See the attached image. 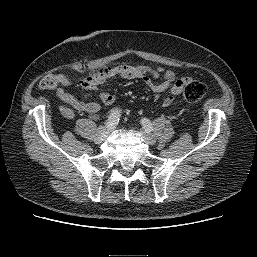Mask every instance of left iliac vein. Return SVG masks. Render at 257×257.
Segmentation results:
<instances>
[{
  "mask_svg": "<svg viewBox=\"0 0 257 257\" xmlns=\"http://www.w3.org/2000/svg\"><path fill=\"white\" fill-rule=\"evenodd\" d=\"M140 132H141V134L143 136V139L145 140V142L147 144H149V145H154L155 144L156 139H155V137L151 133H149L147 131H144L143 129L140 130Z\"/></svg>",
  "mask_w": 257,
  "mask_h": 257,
  "instance_id": "left-iliac-vein-1",
  "label": "left iliac vein"
}]
</instances>
